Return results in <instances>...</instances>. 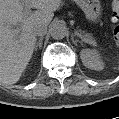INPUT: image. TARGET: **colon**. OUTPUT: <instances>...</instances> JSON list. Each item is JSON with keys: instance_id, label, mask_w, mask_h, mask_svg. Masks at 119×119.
I'll return each mask as SVG.
<instances>
[{"instance_id": "1", "label": "colon", "mask_w": 119, "mask_h": 119, "mask_svg": "<svg viewBox=\"0 0 119 119\" xmlns=\"http://www.w3.org/2000/svg\"><path fill=\"white\" fill-rule=\"evenodd\" d=\"M112 17L111 20L114 23L113 25V36L117 42H119V2L113 1L111 3Z\"/></svg>"}]
</instances>
